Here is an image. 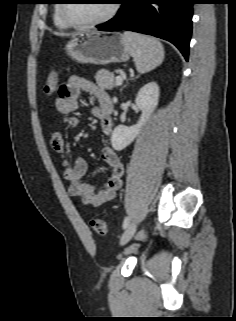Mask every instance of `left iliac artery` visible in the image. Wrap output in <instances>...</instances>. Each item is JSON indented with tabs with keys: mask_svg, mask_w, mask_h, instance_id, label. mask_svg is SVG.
I'll use <instances>...</instances> for the list:
<instances>
[{
	"mask_svg": "<svg viewBox=\"0 0 236 321\" xmlns=\"http://www.w3.org/2000/svg\"><path fill=\"white\" fill-rule=\"evenodd\" d=\"M128 224H129V218L126 217L123 223V229H125L128 226Z\"/></svg>",
	"mask_w": 236,
	"mask_h": 321,
	"instance_id": "1",
	"label": "left iliac artery"
}]
</instances>
